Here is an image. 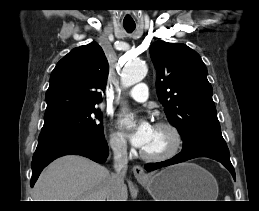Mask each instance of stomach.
<instances>
[{
  "instance_id": "1",
  "label": "stomach",
  "mask_w": 259,
  "mask_h": 211,
  "mask_svg": "<svg viewBox=\"0 0 259 211\" xmlns=\"http://www.w3.org/2000/svg\"><path fill=\"white\" fill-rule=\"evenodd\" d=\"M140 183L155 201H216L218 196L213 175L193 163L167 167Z\"/></svg>"
}]
</instances>
